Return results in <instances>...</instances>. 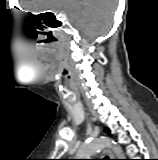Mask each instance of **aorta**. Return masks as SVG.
I'll return each mask as SVG.
<instances>
[{
    "instance_id": "762f6f07",
    "label": "aorta",
    "mask_w": 158,
    "mask_h": 160,
    "mask_svg": "<svg viewBox=\"0 0 158 160\" xmlns=\"http://www.w3.org/2000/svg\"><path fill=\"white\" fill-rule=\"evenodd\" d=\"M106 146L112 148L118 159H123L124 155L122 148L120 146L113 145L111 140L107 138L94 139L91 142L84 144L77 152L76 159H87V157H90L92 154Z\"/></svg>"
}]
</instances>
